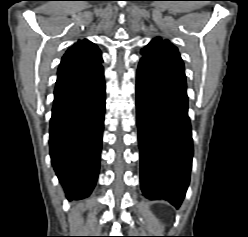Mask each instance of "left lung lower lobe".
I'll use <instances>...</instances> for the list:
<instances>
[{
  "label": "left lung lower lobe",
  "mask_w": 248,
  "mask_h": 237,
  "mask_svg": "<svg viewBox=\"0 0 248 237\" xmlns=\"http://www.w3.org/2000/svg\"><path fill=\"white\" fill-rule=\"evenodd\" d=\"M185 79L140 60L136 106L143 194L179 207L187 190L193 145Z\"/></svg>",
  "instance_id": "obj_1"
}]
</instances>
